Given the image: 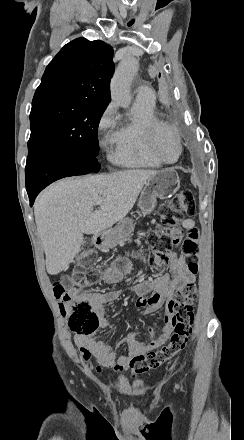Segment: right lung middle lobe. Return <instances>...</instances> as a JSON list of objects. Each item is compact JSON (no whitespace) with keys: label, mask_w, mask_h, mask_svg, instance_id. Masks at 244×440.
<instances>
[{"label":"right lung middle lobe","mask_w":244,"mask_h":440,"mask_svg":"<svg viewBox=\"0 0 244 440\" xmlns=\"http://www.w3.org/2000/svg\"><path fill=\"white\" fill-rule=\"evenodd\" d=\"M105 108L84 100L33 101L28 150L49 147L96 158L98 125Z\"/></svg>","instance_id":"1"}]
</instances>
